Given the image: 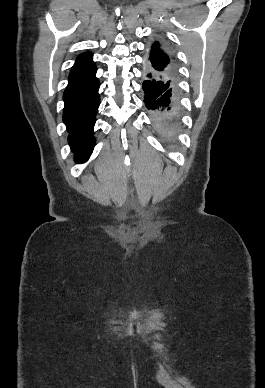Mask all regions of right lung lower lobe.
Masks as SVG:
<instances>
[{
	"mask_svg": "<svg viewBox=\"0 0 265 388\" xmlns=\"http://www.w3.org/2000/svg\"><path fill=\"white\" fill-rule=\"evenodd\" d=\"M99 86L100 82L94 74L84 79L69 81L63 94V121L77 163L85 162L93 150V128L100 104Z\"/></svg>",
	"mask_w": 265,
	"mask_h": 388,
	"instance_id": "98d812e1",
	"label": "right lung lower lobe"
}]
</instances>
